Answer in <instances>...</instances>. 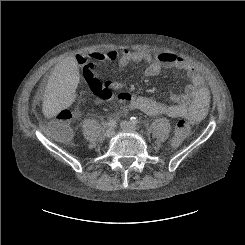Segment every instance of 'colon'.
Wrapping results in <instances>:
<instances>
[{"label": "colon", "mask_w": 245, "mask_h": 245, "mask_svg": "<svg viewBox=\"0 0 245 245\" xmlns=\"http://www.w3.org/2000/svg\"><path fill=\"white\" fill-rule=\"evenodd\" d=\"M79 62L82 64V71L84 74L90 75L92 71L95 69V64L88 60H84L82 58L79 59ZM90 85L95 93L103 94L104 98H110L112 96V92L108 90L107 86L101 84L95 79L90 81ZM130 100V94H122L117 95L116 100ZM72 117L71 112L68 109H62L59 111L57 116L46 122L43 126L45 132H47L51 137L59 140H65L72 136V131L69 127V121ZM190 126L186 119L181 118L177 122V125L174 129V132L170 139V147L172 149H179L184 141L190 135Z\"/></svg>", "instance_id": "5ec220e1"}]
</instances>
